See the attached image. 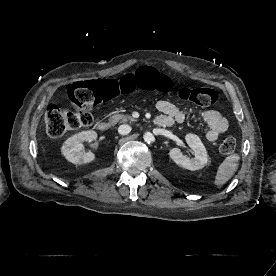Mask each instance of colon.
<instances>
[{
    "label": "colon",
    "mask_w": 276,
    "mask_h": 276,
    "mask_svg": "<svg viewBox=\"0 0 276 276\" xmlns=\"http://www.w3.org/2000/svg\"><path fill=\"white\" fill-rule=\"evenodd\" d=\"M137 89L159 94L174 92L171 79L148 66L141 67L134 74H126L119 80L77 81L67 89V98L73 110H64L56 105L48 107L45 113L47 133L50 137H61L65 133L93 123L92 109L120 94H129ZM182 101L191 102L199 107H209L216 103L218 95L211 88H180L174 92ZM236 141L225 138L220 145L224 155L233 154Z\"/></svg>",
    "instance_id": "obj_1"
}]
</instances>
